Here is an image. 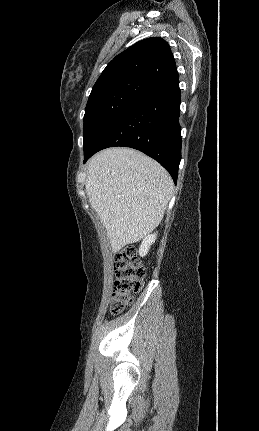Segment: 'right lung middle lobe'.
Here are the masks:
<instances>
[{
	"label": "right lung middle lobe",
	"mask_w": 259,
	"mask_h": 431,
	"mask_svg": "<svg viewBox=\"0 0 259 431\" xmlns=\"http://www.w3.org/2000/svg\"><path fill=\"white\" fill-rule=\"evenodd\" d=\"M149 90L142 82L130 81L90 94L84 115V154L111 123Z\"/></svg>",
	"instance_id": "dd1d6c3e"
}]
</instances>
